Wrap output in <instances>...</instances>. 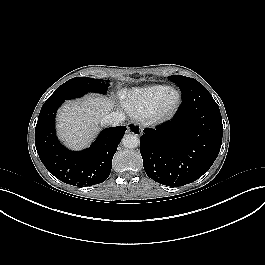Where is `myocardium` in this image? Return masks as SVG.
I'll return each instance as SVG.
<instances>
[{
  "label": "myocardium",
  "mask_w": 265,
  "mask_h": 265,
  "mask_svg": "<svg viewBox=\"0 0 265 265\" xmlns=\"http://www.w3.org/2000/svg\"><path fill=\"white\" fill-rule=\"evenodd\" d=\"M171 96H174V100L172 102L170 101ZM181 103V92L177 89L169 88L154 104L147 118L154 124L165 123L176 115Z\"/></svg>",
  "instance_id": "obj_1"
}]
</instances>
